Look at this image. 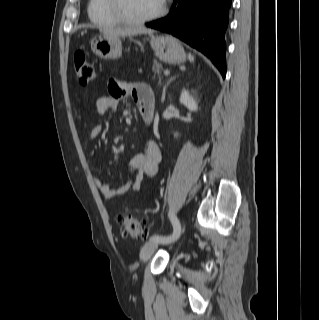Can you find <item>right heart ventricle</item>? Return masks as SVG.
Wrapping results in <instances>:
<instances>
[{"label":"right heart ventricle","mask_w":319,"mask_h":320,"mask_svg":"<svg viewBox=\"0 0 319 320\" xmlns=\"http://www.w3.org/2000/svg\"><path fill=\"white\" fill-rule=\"evenodd\" d=\"M107 0H89L88 3V16L90 20L98 26H114L121 22L112 17L109 13Z\"/></svg>","instance_id":"e07e8e85"}]
</instances>
